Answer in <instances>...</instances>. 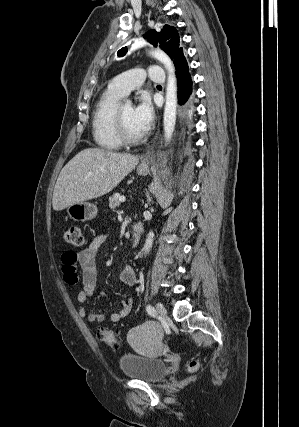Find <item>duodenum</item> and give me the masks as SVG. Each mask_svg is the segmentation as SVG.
I'll return each instance as SVG.
<instances>
[{
	"instance_id": "1",
	"label": "duodenum",
	"mask_w": 299,
	"mask_h": 427,
	"mask_svg": "<svg viewBox=\"0 0 299 427\" xmlns=\"http://www.w3.org/2000/svg\"><path fill=\"white\" fill-rule=\"evenodd\" d=\"M143 233V225L140 222H136L132 225V234H133V244L134 246H137L142 237Z\"/></svg>"
}]
</instances>
